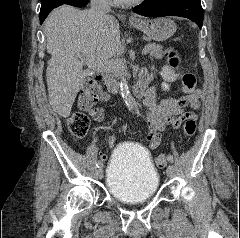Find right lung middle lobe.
<instances>
[{
	"mask_svg": "<svg viewBox=\"0 0 240 238\" xmlns=\"http://www.w3.org/2000/svg\"><path fill=\"white\" fill-rule=\"evenodd\" d=\"M70 1L71 0H41L40 17L46 16L54 8L62 4H68Z\"/></svg>",
	"mask_w": 240,
	"mask_h": 238,
	"instance_id": "obj_1",
	"label": "right lung middle lobe"
}]
</instances>
